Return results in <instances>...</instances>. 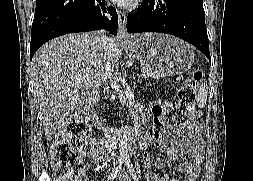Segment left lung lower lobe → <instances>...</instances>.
Returning <instances> with one entry per match:
<instances>
[{
    "label": "left lung lower lobe",
    "mask_w": 253,
    "mask_h": 181,
    "mask_svg": "<svg viewBox=\"0 0 253 181\" xmlns=\"http://www.w3.org/2000/svg\"><path fill=\"white\" fill-rule=\"evenodd\" d=\"M129 33L160 32L193 44L209 60L203 0H143L127 17Z\"/></svg>",
    "instance_id": "0a47b994"
}]
</instances>
